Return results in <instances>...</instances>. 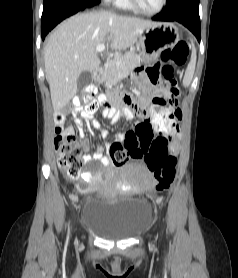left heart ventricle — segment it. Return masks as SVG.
Returning a JSON list of instances; mask_svg holds the SVG:
<instances>
[{"mask_svg": "<svg viewBox=\"0 0 238 278\" xmlns=\"http://www.w3.org/2000/svg\"><path fill=\"white\" fill-rule=\"evenodd\" d=\"M139 5L146 10H155L159 7L161 0H137Z\"/></svg>", "mask_w": 238, "mask_h": 278, "instance_id": "obj_1", "label": "left heart ventricle"}]
</instances>
